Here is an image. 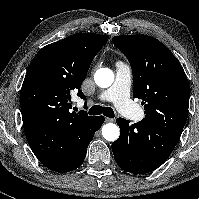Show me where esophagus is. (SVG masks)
Returning <instances> with one entry per match:
<instances>
[{"mask_svg":"<svg viewBox=\"0 0 199 199\" xmlns=\"http://www.w3.org/2000/svg\"><path fill=\"white\" fill-rule=\"evenodd\" d=\"M113 121H114L113 118H109V117H106V118H105V122H113Z\"/></svg>","mask_w":199,"mask_h":199,"instance_id":"esophagus-1","label":"esophagus"}]
</instances>
